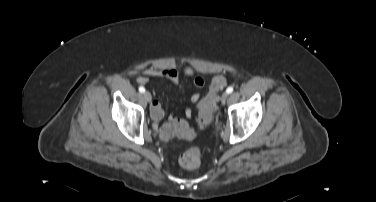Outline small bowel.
<instances>
[{
  "label": "small bowel",
  "mask_w": 376,
  "mask_h": 202,
  "mask_svg": "<svg viewBox=\"0 0 376 202\" xmlns=\"http://www.w3.org/2000/svg\"><path fill=\"white\" fill-rule=\"evenodd\" d=\"M183 73L185 77L193 78V84L197 89H200L204 85V79L202 77L196 76L193 69L186 68ZM150 77L165 78L173 84H178L180 80V73L176 69H173V68L152 67V68H148L144 70L142 75L137 79V82L140 85H145L148 83ZM199 99H200L199 92H194L190 97V101L192 103L198 102ZM150 113H151L152 118L155 121H160L163 119L164 111L159 101L157 100L152 101L150 105ZM192 115H193L192 109L188 108L185 110V116L187 118L192 117ZM169 122L177 123V122H184V121L182 119H179L176 116H170Z\"/></svg>",
  "instance_id": "c3829d8e"
}]
</instances>
